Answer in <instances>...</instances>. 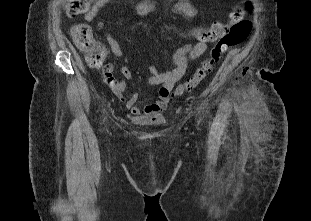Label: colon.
Returning a JSON list of instances; mask_svg holds the SVG:
<instances>
[{"mask_svg": "<svg viewBox=\"0 0 311 221\" xmlns=\"http://www.w3.org/2000/svg\"><path fill=\"white\" fill-rule=\"evenodd\" d=\"M91 3L92 0L61 1L60 7L63 8L64 12H70L71 17H88L89 6L85 4ZM239 10L236 9L230 13L228 22H215L209 30L199 36L200 41L207 42L213 41L214 34H219L220 40L216 41L210 56L202 62L196 72L188 80L175 87L172 97L183 95L197 87L211 73L213 66L220 60L223 52L238 46L248 37L251 32L250 22L248 20L242 21L243 15ZM246 12L250 13L249 17L255 16L254 10H247ZM236 18H241V23L234 26L229 36H224V31L227 30L229 24H232V21H236ZM71 35L76 47L86 53L89 66L96 70L102 69L105 78L110 76V71L103 69L107 52L104 47L96 45L90 25L87 23L74 25L71 28Z\"/></svg>", "mask_w": 311, "mask_h": 221, "instance_id": "1", "label": "colon"}]
</instances>
